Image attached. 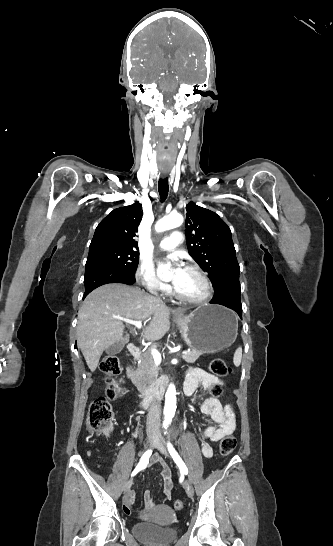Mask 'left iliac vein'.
<instances>
[{
  "label": "left iliac vein",
  "mask_w": 333,
  "mask_h": 546,
  "mask_svg": "<svg viewBox=\"0 0 333 546\" xmlns=\"http://www.w3.org/2000/svg\"><path fill=\"white\" fill-rule=\"evenodd\" d=\"M155 447H156L163 455L168 456V452H167L166 446H165V441H164L163 437H162L160 434H158V435L156 436ZM183 487H184V489H185L187 495H188L189 497H192L193 494H194V490H193V487H192L191 483H190L189 481L185 480L184 483H183Z\"/></svg>",
  "instance_id": "left-iliac-vein-1"
}]
</instances>
